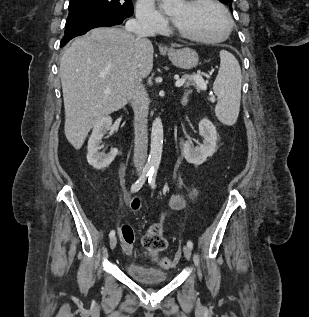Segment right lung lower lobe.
Segmentation results:
<instances>
[{"instance_id":"right-lung-lower-lobe-1","label":"right lung lower lobe","mask_w":309,"mask_h":317,"mask_svg":"<svg viewBox=\"0 0 309 317\" xmlns=\"http://www.w3.org/2000/svg\"><path fill=\"white\" fill-rule=\"evenodd\" d=\"M126 17L98 11H72L69 12L65 25V35L60 47L66 45L72 38L83 35L90 29L103 26L121 24Z\"/></svg>"}]
</instances>
